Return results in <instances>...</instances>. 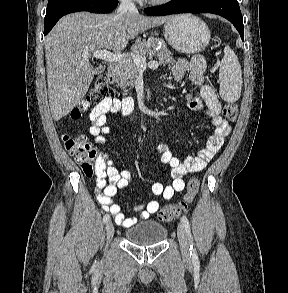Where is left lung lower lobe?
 Segmentation results:
<instances>
[{
  "instance_id": "1",
  "label": "left lung lower lobe",
  "mask_w": 288,
  "mask_h": 293,
  "mask_svg": "<svg viewBox=\"0 0 288 293\" xmlns=\"http://www.w3.org/2000/svg\"><path fill=\"white\" fill-rule=\"evenodd\" d=\"M151 16H164L178 13H212L229 20L244 40L242 14L237 0H172L167 4L146 8Z\"/></svg>"
}]
</instances>
